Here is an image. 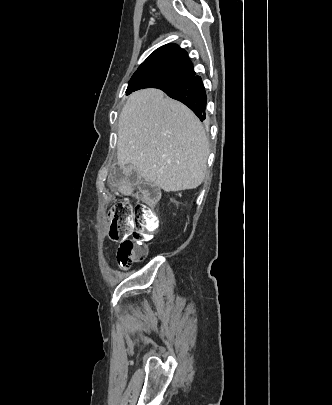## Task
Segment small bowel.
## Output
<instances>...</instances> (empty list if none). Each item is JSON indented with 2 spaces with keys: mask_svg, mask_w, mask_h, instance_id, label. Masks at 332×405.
Returning a JSON list of instances; mask_svg holds the SVG:
<instances>
[{
  "mask_svg": "<svg viewBox=\"0 0 332 405\" xmlns=\"http://www.w3.org/2000/svg\"><path fill=\"white\" fill-rule=\"evenodd\" d=\"M109 186H142L141 172H130L123 162H114L111 172L107 173Z\"/></svg>",
  "mask_w": 332,
  "mask_h": 405,
  "instance_id": "small-bowel-1",
  "label": "small bowel"
}]
</instances>
